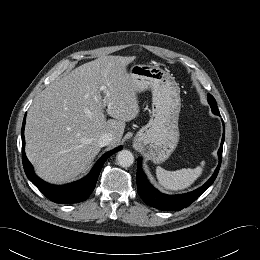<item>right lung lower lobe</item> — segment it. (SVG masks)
Wrapping results in <instances>:
<instances>
[{"label": "right lung lower lobe", "instance_id": "obj_1", "mask_svg": "<svg viewBox=\"0 0 260 260\" xmlns=\"http://www.w3.org/2000/svg\"><path fill=\"white\" fill-rule=\"evenodd\" d=\"M26 116L23 120L22 125V161L25 173L28 179L51 201L59 204H70V203H79L86 200L91 192L94 190L97 178L101 171L103 164L106 162L107 158L114 154L115 152L122 150V147L119 146L116 149L108 152L105 156L98 160V162L93 167L92 171L83 179L62 186L51 185L39 177L33 171L32 164L29 162L25 155L24 146V126H25Z\"/></svg>", "mask_w": 260, "mask_h": 260}]
</instances>
